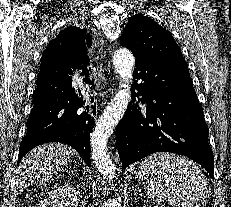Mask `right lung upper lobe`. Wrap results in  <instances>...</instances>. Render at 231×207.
<instances>
[{
	"label": "right lung upper lobe",
	"mask_w": 231,
	"mask_h": 207,
	"mask_svg": "<svg viewBox=\"0 0 231 207\" xmlns=\"http://www.w3.org/2000/svg\"><path fill=\"white\" fill-rule=\"evenodd\" d=\"M70 27L62 30L57 38L48 44L41 58L42 65L79 69L89 61L87 49L91 46L92 37L85 29L75 32Z\"/></svg>",
	"instance_id": "right-lung-upper-lobe-1"
}]
</instances>
